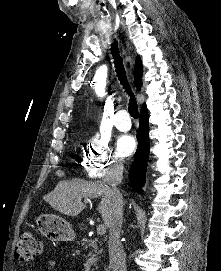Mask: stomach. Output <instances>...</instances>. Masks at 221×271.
<instances>
[{"mask_svg":"<svg viewBox=\"0 0 221 271\" xmlns=\"http://www.w3.org/2000/svg\"><path fill=\"white\" fill-rule=\"evenodd\" d=\"M36 225L40 233L51 241H72L75 237L69 221L59 219L57 215L42 213L36 217Z\"/></svg>","mask_w":221,"mask_h":271,"instance_id":"stomach-1","label":"stomach"}]
</instances>
